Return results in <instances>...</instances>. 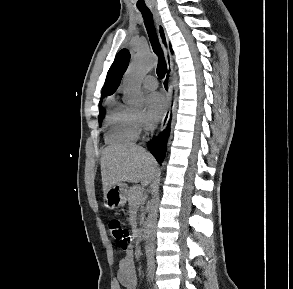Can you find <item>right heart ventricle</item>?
<instances>
[{"instance_id":"e07e8e85","label":"right heart ventricle","mask_w":293,"mask_h":289,"mask_svg":"<svg viewBox=\"0 0 293 289\" xmlns=\"http://www.w3.org/2000/svg\"><path fill=\"white\" fill-rule=\"evenodd\" d=\"M105 125L108 144L133 142L139 136L135 112L115 97L108 98L106 102Z\"/></svg>"}]
</instances>
